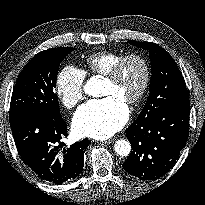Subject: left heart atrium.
Wrapping results in <instances>:
<instances>
[{
    "instance_id": "1",
    "label": "left heart atrium",
    "mask_w": 205,
    "mask_h": 205,
    "mask_svg": "<svg viewBox=\"0 0 205 205\" xmlns=\"http://www.w3.org/2000/svg\"><path fill=\"white\" fill-rule=\"evenodd\" d=\"M129 110L121 99L107 96L82 105L75 113L73 127L77 134L95 139L114 135L127 121Z\"/></svg>"
}]
</instances>
